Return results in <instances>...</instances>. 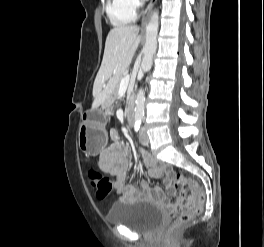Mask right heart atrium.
<instances>
[{
	"instance_id": "d8ad5b80",
	"label": "right heart atrium",
	"mask_w": 264,
	"mask_h": 247,
	"mask_svg": "<svg viewBox=\"0 0 264 247\" xmlns=\"http://www.w3.org/2000/svg\"><path fill=\"white\" fill-rule=\"evenodd\" d=\"M125 5L131 11L136 12L141 6V0H124Z\"/></svg>"
}]
</instances>
